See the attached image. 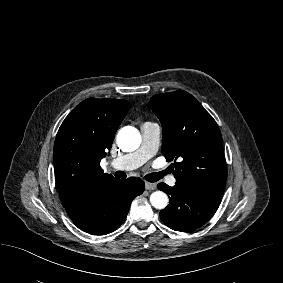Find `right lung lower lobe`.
Masks as SVG:
<instances>
[{
    "label": "right lung lower lobe",
    "instance_id": "obj_1",
    "mask_svg": "<svg viewBox=\"0 0 283 283\" xmlns=\"http://www.w3.org/2000/svg\"><path fill=\"white\" fill-rule=\"evenodd\" d=\"M143 191L144 182L140 178L117 179L103 186L87 206L70 218L78 228L87 233H111L124 222L132 200Z\"/></svg>",
    "mask_w": 283,
    "mask_h": 283
}]
</instances>
